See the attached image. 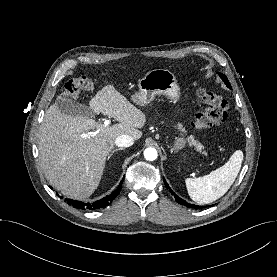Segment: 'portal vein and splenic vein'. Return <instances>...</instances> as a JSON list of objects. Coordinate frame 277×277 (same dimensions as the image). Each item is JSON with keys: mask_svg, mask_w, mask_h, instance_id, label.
<instances>
[{"mask_svg": "<svg viewBox=\"0 0 277 277\" xmlns=\"http://www.w3.org/2000/svg\"><path fill=\"white\" fill-rule=\"evenodd\" d=\"M104 125H105V126H109V125H110V120H109V119H106V120L104 121ZM93 134H95V133H88V134H86V136H90V135H93Z\"/></svg>", "mask_w": 277, "mask_h": 277, "instance_id": "1", "label": "portal vein and splenic vein"}]
</instances>
